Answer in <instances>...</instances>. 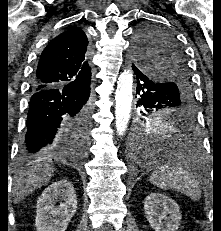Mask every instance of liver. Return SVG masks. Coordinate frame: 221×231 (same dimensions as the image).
I'll use <instances>...</instances> for the list:
<instances>
[{
    "label": "liver",
    "instance_id": "1",
    "mask_svg": "<svg viewBox=\"0 0 221 231\" xmlns=\"http://www.w3.org/2000/svg\"><path fill=\"white\" fill-rule=\"evenodd\" d=\"M47 158L38 159V163L32 165L26 171L20 172L13 184L14 202L18 203L32 193L36 188L48 182L54 174V167L47 162ZM43 161V162H41Z\"/></svg>",
    "mask_w": 221,
    "mask_h": 231
}]
</instances>
